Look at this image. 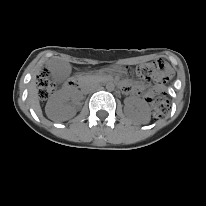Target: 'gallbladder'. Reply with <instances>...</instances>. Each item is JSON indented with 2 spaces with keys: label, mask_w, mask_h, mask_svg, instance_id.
Returning a JSON list of instances; mask_svg holds the SVG:
<instances>
[{
  "label": "gallbladder",
  "mask_w": 206,
  "mask_h": 206,
  "mask_svg": "<svg viewBox=\"0 0 206 206\" xmlns=\"http://www.w3.org/2000/svg\"><path fill=\"white\" fill-rule=\"evenodd\" d=\"M49 69L51 79L56 83H61L67 79L71 73V65L68 62L59 59H51L46 63Z\"/></svg>",
  "instance_id": "gallbladder-1"
}]
</instances>
